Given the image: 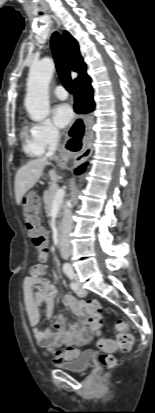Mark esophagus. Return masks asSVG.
Listing matches in <instances>:
<instances>
[{
	"label": "esophagus",
	"instance_id": "34e87169",
	"mask_svg": "<svg viewBox=\"0 0 155 413\" xmlns=\"http://www.w3.org/2000/svg\"><path fill=\"white\" fill-rule=\"evenodd\" d=\"M68 149L69 148L66 145H64L62 150L65 153L66 150ZM71 151H74V150H71ZM92 151H93V147L90 144H87L85 149L74 157V166H78L82 164L83 162H85L88 159V157L92 154Z\"/></svg>",
	"mask_w": 155,
	"mask_h": 413
}]
</instances>
